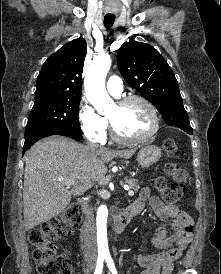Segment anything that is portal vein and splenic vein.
Returning a JSON list of instances; mask_svg holds the SVG:
<instances>
[{"label": "portal vein and splenic vein", "instance_id": "18ae733b", "mask_svg": "<svg viewBox=\"0 0 221 274\" xmlns=\"http://www.w3.org/2000/svg\"><path fill=\"white\" fill-rule=\"evenodd\" d=\"M65 184L68 185V186L74 185V184H76V181H74L73 179H69L65 182ZM124 189L128 191V194L130 196L134 195V192L128 186H125Z\"/></svg>", "mask_w": 221, "mask_h": 274}]
</instances>
